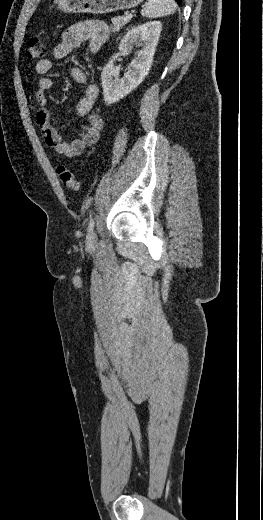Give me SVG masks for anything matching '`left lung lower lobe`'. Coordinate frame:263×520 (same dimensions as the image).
I'll return each mask as SVG.
<instances>
[{"mask_svg":"<svg viewBox=\"0 0 263 520\" xmlns=\"http://www.w3.org/2000/svg\"><path fill=\"white\" fill-rule=\"evenodd\" d=\"M176 1H177L178 4H180L182 0H176Z\"/></svg>","mask_w":263,"mask_h":520,"instance_id":"1","label":"left lung lower lobe"}]
</instances>
